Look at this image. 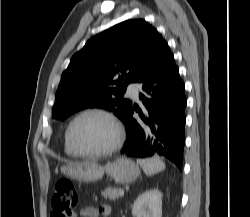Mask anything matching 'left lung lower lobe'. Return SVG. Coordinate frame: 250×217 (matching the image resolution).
Listing matches in <instances>:
<instances>
[{"instance_id": "left-lung-lower-lobe-1", "label": "left lung lower lobe", "mask_w": 250, "mask_h": 217, "mask_svg": "<svg viewBox=\"0 0 250 217\" xmlns=\"http://www.w3.org/2000/svg\"><path fill=\"white\" fill-rule=\"evenodd\" d=\"M137 83L142 85L139 98L143 110L132 106L123 121L127 126V142L121 153L139 158L164 156L182 170L187 100L184 83L165 40ZM135 111L140 119L133 117ZM149 130L156 136L152 145L149 137L145 139Z\"/></svg>"}]
</instances>
